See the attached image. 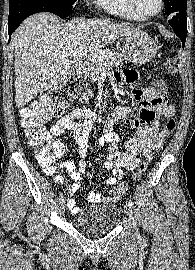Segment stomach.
<instances>
[{
    "label": "stomach",
    "mask_w": 195,
    "mask_h": 270,
    "mask_svg": "<svg viewBox=\"0 0 195 270\" xmlns=\"http://www.w3.org/2000/svg\"><path fill=\"white\" fill-rule=\"evenodd\" d=\"M158 45L146 32L137 31L125 36L123 53L135 65L148 63L157 53Z\"/></svg>",
    "instance_id": "0dacf381"
}]
</instances>
